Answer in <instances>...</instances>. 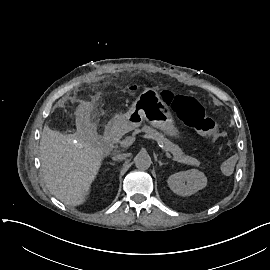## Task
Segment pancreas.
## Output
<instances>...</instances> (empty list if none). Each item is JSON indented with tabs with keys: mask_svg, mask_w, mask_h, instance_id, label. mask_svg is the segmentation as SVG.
Listing matches in <instances>:
<instances>
[{
	"mask_svg": "<svg viewBox=\"0 0 270 270\" xmlns=\"http://www.w3.org/2000/svg\"><path fill=\"white\" fill-rule=\"evenodd\" d=\"M141 131L146 133L154 140L158 141L161 145H163L164 149L167 152L171 153L174 156V159L177 160L179 163L197 167L200 166L201 164L200 161H198L196 158H193L190 155H186L179 146L173 144L157 130L152 129L149 126H143L141 128Z\"/></svg>",
	"mask_w": 270,
	"mask_h": 270,
	"instance_id": "cf45deb5",
	"label": "pancreas"
}]
</instances>
